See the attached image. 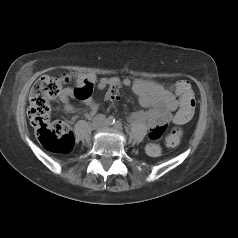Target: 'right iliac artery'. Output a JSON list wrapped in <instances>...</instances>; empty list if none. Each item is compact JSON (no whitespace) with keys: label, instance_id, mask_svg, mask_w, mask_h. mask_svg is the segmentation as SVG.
I'll use <instances>...</instances> for the list:
<instances>
[{"label":"right iliac artery","instance_id":"obj_1","mask_svg":"<svg viewBox=\"0 0 238 238\" xmlns=\"http://www.w3.org/2000/svg\"><path fill=\"white\" fill-rule=\"evenodd\" d=\"M107 123H108L109 125H112V124L115 123V119H114L113 117H109V118L107 119Z\"/></svg>","mask_w":238,"mask_h":238}]
</instances>
